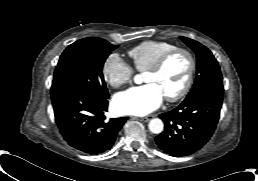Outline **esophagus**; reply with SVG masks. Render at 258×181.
Here are the masks:
<instances>
[{
  "label": "esophagus",
  "mask_w": 258,
  "mask_h": 181,
  "mask_svg": "<svg viewBox=\"0 0 258 181\" xmlns=\"http://www.w3.org/2000/svg\"><path fill=\"white\" fill-rule=\"evenodd\" d=\"M152 118H153V116H152V115H149V116H146V117H142L141 120L144 121V122H148V121H150Z\"/></svg>",
  "instance_id": "1"
}]
</instances>
